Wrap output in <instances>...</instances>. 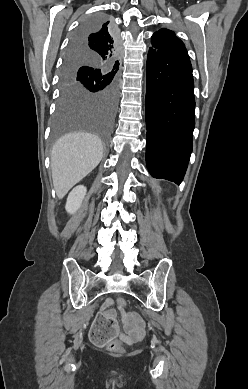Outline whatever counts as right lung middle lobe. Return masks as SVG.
<instances>
[{
	"instance_id": "dd1d6c3e",
	"label": "right lung middle lobe",
	"mask_w": 248,
	"mask_h": 389,
	"mask_svg": "<svg viewBox=\"0 0 248 389\" xmlns=\"http://www.w3.org/2000/svg\"><path fill=\"white\" fill-rule=\"evenodd\" d=\"M108 22L103 15L84 20L71 44L97 31ZM61 96L55 116L52 140L76 130L97 133L107 145L117 106L116 72L87 54L68 49L61 74Z\"/></svg>"
}]
</instances>
